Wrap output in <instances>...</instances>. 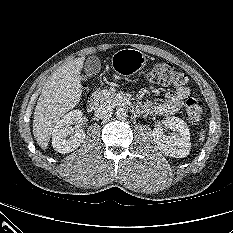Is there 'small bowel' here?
Returning a JSON list of instances; mask_svg holds the SVG:
<instances>
[{"mask_svg": "<svg viewBox=\"0 0 233 233\" xmlns=\"http://www.w3.org/2000/svg\"><path fill=\"white\" fill-rule=\"evenodd\" d=\"M189 96L190 89L187 86H181L174 91L166 93L164 101L161 103L152 101L144 103L142 110L152 115H171L180 110Z\"/></svg>", "mask_w": 233, "mask_h": 233, "instance_id": "1", "label": "small bowel"}]
</instances>
